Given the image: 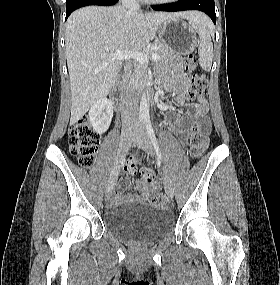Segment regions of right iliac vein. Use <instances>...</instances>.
Returning <instances> with one entry per match:
<instances>
[{
    "mask_svg": "<svg viewBox=\"0 0 280 285\" xmlns=\"http://www.w3.org/2000/svg\"><path fill=\"white\" fill-rule=\"evenodd\" d=\"M131 137H132V132L123 133L121 136L118 158L108 180V184L106 187V196H109L112 193L116 185L120 164L127 150L129 149Z\"/></svg>",
    "mask_w": 280,
    "mask_h": 285,
    "instance_id": "1",
    "label": "right iliac vein"
}]
</instances>
